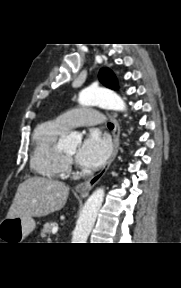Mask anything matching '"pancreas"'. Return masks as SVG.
<instances>
[{
	"label": "pancreas",
	"mask_w": 181,
	"mask_h": 288,
	"mask_svg": "<svg viewBox=\"0 0 181 288\" xmlns=\"http://www.w3.org/2000/svg\"><path fill=\"white\" fill-rule=\"evenodd\" d=\"M55 226H56V223L52 221L45 223L44 227L41 230V237L42 238L47 237V235L52 232V229Z\"/></svg>",
	"instance_id": "pancreas-1"
}]
</instances>
